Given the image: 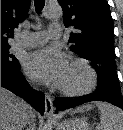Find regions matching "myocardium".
Instances as JSON below:
<instances>
[{
  "instance_id": "myocardium-1",
  "label": "myocardium",
  "mask_w": 123,
  "mask_h": 130,
  "mask_svg": "<svg viewBox=\"0 0 123 130\" xmlns=\"http://www.w3.org/2000/svg\"><path fill=\"white\" fill-rule=\"evenodd\" d=\"M69 66L83 69L88 75L87 82L80 87H67L58 85L57 89L59 92L63 95L71 97L83 96L92 92L95 89L98 81L97 72L95 69L87 61L78 58L72 59Z\"/></svg>"
}]
</instances>
